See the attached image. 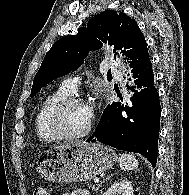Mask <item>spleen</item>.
Masks as SVG:
<instances>
[{
	"label": "spleen",
	"instance_id": "1",
	"mask_svg": "<svg viewBox=\"0 0 189 195\" xmlns=\"http://www.w3.org/2000/svg\"><path fill=\"white\" fill-rule=\"evenodd\" d=\"M138 160L135 158L134 154L123 153L120 158V168L125 171L133 170L137 168Z\"/></svg>",
	"mask_w": 189,
	"mask_h": 195
}]
</instances>
